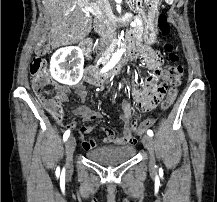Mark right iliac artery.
I'll use <instances>...</instances> for the list:
<instances>
[{
    "mask_svg": "<svg viewBox=\"0 0 217 202\" xmlns=\"http://www.w3.org/2000/svg\"><path fill=\"white\" fill-rule=\"evenodd\" d=\"M70 136V130H67L63 135V140L66 141Z\"/></svg>",
    "mask_w": 217,
    "mask_h": 202,
    "instance_id": "82829eb1",
    "label": "right iliac artery"
}]
</instances>
